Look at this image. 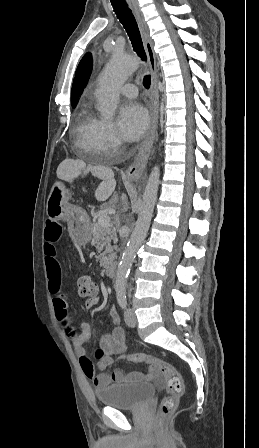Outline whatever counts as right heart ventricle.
I'll use <instances>...</instances> for the list:
<instances>
[{"mask_svg":"<svg viewBox=\"0 0 259 448\" xmlns=\"http://www.w3.org/2000/svg\"><path fill=\"white\" fill-rule=\"evenodd\" d=\"M101 121L91 104L88 101L83 102L75 117L74 132L78 145L87 150L85 153L78 155L85 157V163H101L104 161V158L97 151V137Z\"/></svg>","mask_w":259,"mask_h":448,"instance_id":"right-heart-ventricle-1","label":"right heart ventricle"}]
</instances>
